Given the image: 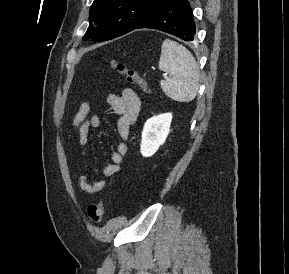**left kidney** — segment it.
<instances>
[{"label": "left kidney", "mask_w": 289, "mask_h": 274, "mask_svg": "<svg viewBox=\"0 0 289 274\" xmlns=\"http://www.w3.org/2000/svg\"><path fill=\"white\" fill-rule=\"evenodd\" d=\"M172 121V114L166 113L154 116L146 121L142 131L140 151L144 157L155 154L165 142Z\"/></svg>", "instance_id": "left-kidney-1"}]
</instances>
